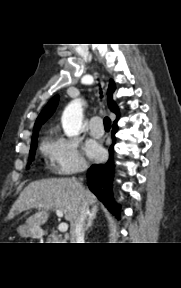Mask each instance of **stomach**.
<instances>
[{
	"mask_svg": "<svg viewBox=\"0 0 181 288\" xmlns=\"http://www.w3.org/2000/svg\"><path fill=\"white\" fill-rule=\"evenodd\" d=\"M18 233L22 237H33V238H39L41 237V231L34 229L32 227H29L27 225H22L18 227Z\"/></svg>",
	"mask_w": 181,
	"mask_h": 288,
	"instance_id": "stomach-1",
	"label": "stomach"
}]
</instances>
